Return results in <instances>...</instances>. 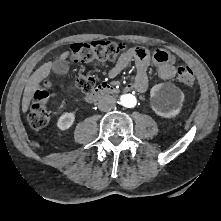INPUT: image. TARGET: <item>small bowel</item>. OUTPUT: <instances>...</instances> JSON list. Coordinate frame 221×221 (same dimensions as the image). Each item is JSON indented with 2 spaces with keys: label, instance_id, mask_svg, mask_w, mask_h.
Wrapping results in <instances>:
<instances>
[{
  "label": "small bowel",
  "instance_id": "small-bowel-1",
  "mask_svg": "<svg viewBox=\"0 0 221 221\" xmlns=\"http://www.w3.org/2000/svg\"><path fill=\"white\" fill-rule=\"evenodd\" d=\"M132 61L135 62L136 73L131 79L129 88L139 93H144L148 89L147 69L152 61L149 50L144 47H134L124 52L108 71V77L111 79L115 78ZM153 61L159 78L169 80L176 75L175 57L169 52L162 48H156L153 51Z\"/></svg>",
  "mask_w": 221,
  "mask_h": 221
}]
</instances>
